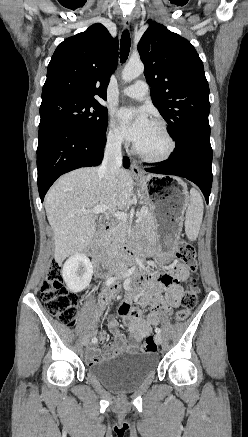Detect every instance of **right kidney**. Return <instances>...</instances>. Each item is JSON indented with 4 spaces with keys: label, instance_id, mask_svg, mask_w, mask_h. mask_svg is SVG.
Here are the masks:
<instances>
[{
    "label": "right kidney",
    "instance_id": "right-kidney-1",
    "mask_svg": "<svg viewBox=\"0 0 248 437\" xmlns=\"http://www.w3.org/2000/svg\"><path fill=\"white\" fill-rule=\"evenodd\" d=\"M92 275V264L84 254L69 257L62 269V277L67 288L74 293L84 290L89 285Z\"/></svg>",
    "mask_w": 248,
    "mask_h": 437
}]
</instances>
